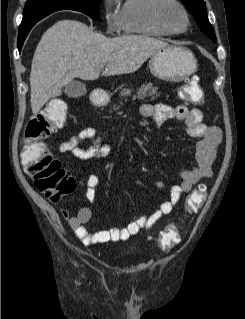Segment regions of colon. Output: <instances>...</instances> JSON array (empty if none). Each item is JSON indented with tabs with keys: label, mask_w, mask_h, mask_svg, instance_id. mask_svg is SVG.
I'll return each instance as SVG.
<instances>
[{
	"label": "colon",
	"mask_w": 245,
	"mask_h": 319,
	"mask_svg": "<svg viewBox=\"0 0 245 319\" xmlns=\"http://www.w3.org/2000/svg\"><path fill=\"white\" fill-rule=\"evenodd\" d=\"M184 99L194 105H203L205 94L198 84V77L187 80L182 88ZM67 105L62 101L51 102L43 112L33 116L27 123L22 142V165L29 174L36 188L53 201L70 194L75 188L74 180L66 174L60 162L47 149L44 140L60 130L66 123ZM207 196L206 186L200 184L186 200L188 212L202 206ZM179 234L175 225L168 226L157 234L153 241L162 249L172 248L178 241Z\"/></svg>",
	"instance_id": "5ec220e1"
}]
</instances>
